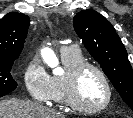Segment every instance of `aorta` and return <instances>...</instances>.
Masks as SVG:
<instances>
[{
  "label": "aorta",
  "instance_id": "1",
  "mask_svg": "<svg viewBox=\"0 0 133 118\" xmlns=\"http://www.w3.org/2000/svg\"><path fill=\"white\" fill-rule=\"evenodd\" d=\"M43 59L51 68H54L53 72L55 74H58L61 72V69L58 68V60L52 50L50 49L46 50L43 53Z\"/></svg>",
  "mask_w": 133,
  "mask_h": 118
}]
</instances>
